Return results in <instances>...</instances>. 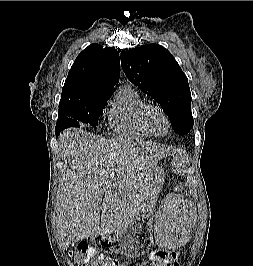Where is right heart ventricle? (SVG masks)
Returning a JSON list of instances; mask_svg holds the SVG:
<instances>
[{
  "label": "right heart ventricle",
  "instance_id": "e07e8e85",
  "mask_svg": "<svg viewBox=\"0 0 253 266\" xmlns=\"http://www.w3.org/2000/svg\"><path fill=\"white\" fill-rule=\"evenodd\" d=\"M145 101L137 91L126 85L119 89L109 109V124L113 130L128 138L143 140L151 135L142 123Z\"/></svg>",
  "mask_w": 253,
  "mask_h": 266
}]
</instances>
